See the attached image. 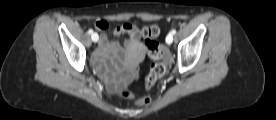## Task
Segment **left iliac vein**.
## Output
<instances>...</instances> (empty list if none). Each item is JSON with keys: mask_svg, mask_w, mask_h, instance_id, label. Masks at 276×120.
I'll return each instance as SVG.
<instances>
[{"mask_svg": "<svg viewBox=\"0 0 276 120\" xmlns=\"http://www.w3.org/2000/svg\"><path fill=\"white\" fill-rule=\"evenodd\" d=\"M173 42V35L172 34H168L166 36V43L167 44H171Z\"/></svg>", "mask_w": 276, "mask_h": 120, "instance_id": "4c4485c4", "label": "left iliac vein"}]
</instances>
